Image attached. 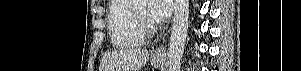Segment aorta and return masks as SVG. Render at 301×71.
I'll return each instance as SVG.
<instances>
[{
  "label": "aorta",
  "instance_id": "obj_1",
  "mask_svg": "<svg viewBox=\"0 0 301 71\" xmlns=\"http://www.w3.org/2000/svg\"><path fill=\"white\" fill-rule=\"evenodd\" d=\"M146 3L147 0H135ZM189 0H175L172 33L168 52L167 71H180L188 32Z\"/></svg>",
  "mask_w": 301,
  "mask_h": 71
}]
</instances>
